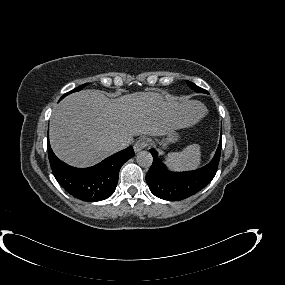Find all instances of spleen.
Masks as SVG:
<instances>
[{
	"instance_id": "3e777b00",
	"label": "spleen",
	"mask_w": 285,
	"mask_h": 285,
	"mask_svg": "<svg viewBox=\"0 0 285 285\" xmlns=\"http://www.w3.org/2000/svg\"><path fill=\"white\" fill-rule=\"evenodd\" d=\"M201 163V150L197 144L189 145L180 152H171L166 158V164L172 170H192Z\"/></svg>"
}]
</instances>
